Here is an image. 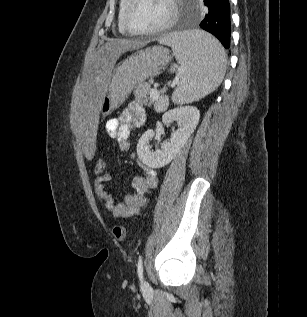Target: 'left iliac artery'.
<instances>
[{"label":"left iliac artery","mask_w":307,"mask_h":317,"mask_svg":"<svg viewBox=\"0 0 307 317\" xmlns=\"http://www.w3.org/2000/svg\"><path fill=\"white\" fill-rule=\"evenodd\" d=\"M137 272H138L139 279L142 280L143 279V261L141 256H139V260L137 264Z\"/></svg>","instance_id":"44dca946"}]
</instances>
